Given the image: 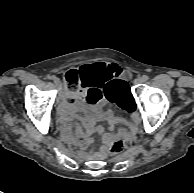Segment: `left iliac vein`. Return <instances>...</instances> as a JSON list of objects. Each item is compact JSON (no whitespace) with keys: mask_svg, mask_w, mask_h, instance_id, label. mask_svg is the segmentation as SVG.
<instances>
[{"mask_svg":"<svg viewBox=\"0 0 194 193\" xmlns=\"http://www.w3.org/2000/svg\"><path fill=\"white\" fill-rule=\"evenodd\" d=\"M142 82H143V79L142 78L135 79V83H137V84L142 83Z\"/></svg>","mask_w":194,"mask_h":193,"instance_id":"4c4485c4","label":"left iliac vein"}]
</instances>
